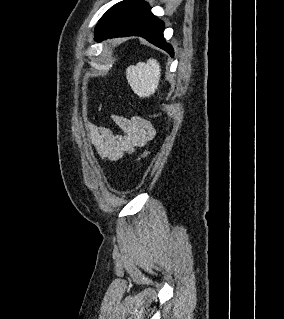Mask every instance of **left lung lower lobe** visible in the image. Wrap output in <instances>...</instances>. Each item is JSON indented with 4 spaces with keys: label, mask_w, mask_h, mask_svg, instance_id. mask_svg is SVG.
<instances>
[{
    "label": "left lung lower lobe",
    "mask_w": 284,
    "mask_h": 319,
    "mask_svg": "<svg viewBox=\"0 0 284 319\" xmlns=\"http://www.w3.org/2000/svg\"><path fill=\"white\" fill-rule=\"evenodd\" d=\"M164 23L154 16L149 5L142 0H125L106 25L96 36L97 41L112 37L141 36L168 52L172 57L173 48L163 37Z\"/></svg>",
    "instance_id": "0a47b994"
}]
</instances>
